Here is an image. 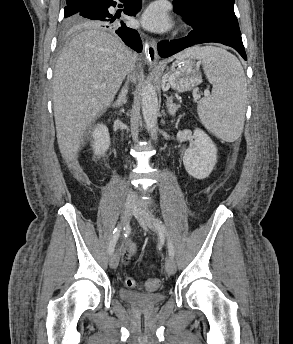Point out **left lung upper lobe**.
Wrapping results in <instances>:
<instances>
[{
	"label": "left lung upper lobe",
	"instance_id": "1",
	"mask_svg": "<svg viewBox=\"0 0 293 344\" xmlns=\"http://www.w3.org/2000/svg\"><path fill=\"white\" fill-rule=\"evenodd\" d=\"M173 3L203 21L213 22L241 35L234 13V0H174Z\"/></svg>",
	"mask_w": 293,
	"mask_h": 344
}]
</instances>
